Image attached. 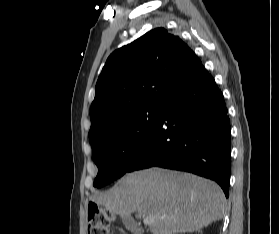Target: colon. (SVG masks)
Listing matches in <instances>:
<instances>
[{"mask_svg": "<svg viewBox=\"0 0 279 234\" xmlns=\"http://www.w3.org/2000/svg\"><path fill=\"white\" fill-rule=\"evenodd\" d=\"M113 214L97 205H90L88 209L87 234H110Z\"/></svg>", "mask_w": 279, "mask_h": 234, "instance_id": "5ec220e1", "label": "colon"}]
</instances>
